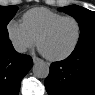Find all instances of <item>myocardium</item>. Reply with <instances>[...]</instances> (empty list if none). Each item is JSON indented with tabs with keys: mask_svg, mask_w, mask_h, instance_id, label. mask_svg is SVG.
Listing matches in <instances>:
<instances>
[{
	"mask_svg": "<svg viewBox=\"0 0 95 95\" xmlns=\"http://www.w3.org/2000/svg\"><path fill=\"white\" fill-rule=\"evenodd\" d=\"M66 20H73L76 24H77V28H78V34H77V38L75 43L73 44V46L64 54L60 55V56H49L45 53H43V51L41 50L40 44L41 41L47 36L49 35L61 22L66 21ZM82 33H83V28H82V24L80 22V20L74 16H64L56 21H54L53 23H51L49 26H47L38 36L36 42H37V47L39 49V51L42 53V55L50 60V61H62L66 58H68L69 56H71L75 50L77 49V47L80 44L81 38H82Z\"/></svg>",
	"mask_w": 95,
	"mask_h": 95,
	"instance_id": "myocardium-1",
	"label": "myocardium"
}]
</instances>
